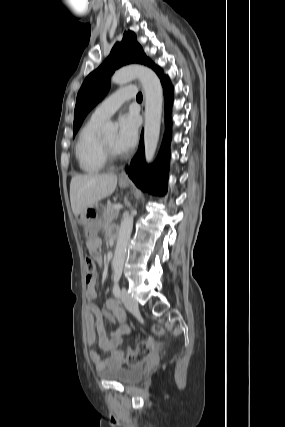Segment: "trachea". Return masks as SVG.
<instances>
[{
    "mask_svg": "<svg viewBox=\"0 0 285 427\" xmlns=\"http://www.w3.org/2000/svg\"><path fill=\"white\" fill-rule=\"evenodd\" d=\"M136 99H137V100H142V94H141V93H138V94H137V96H136Z\"/></svg>",
    "mask_w": 285,
    "mask_h": 427,
    "instance_id": "1",
    "label": "trachea"
}]
</instances>
